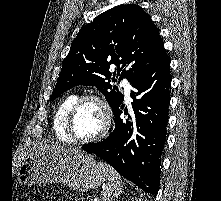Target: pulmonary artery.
Masks as SVG:
<instances>
[{"mask_svg": "<svg viewBox=\"0 0 221 201\" xmlns=\"http://www.w3.org/2000/svg\"><path fill=\"white\" fill-rule=\"evenodd\" d=\"M121 86L124 88L126 98L129 99L130 98L131 85L129 84V82L126 79H123L121 81Z\"/></svg>", "mask_w": 221, "mask_h": 201, "instance_id": "obj_1", "label": "pulmonary artery"}]
</instances>
